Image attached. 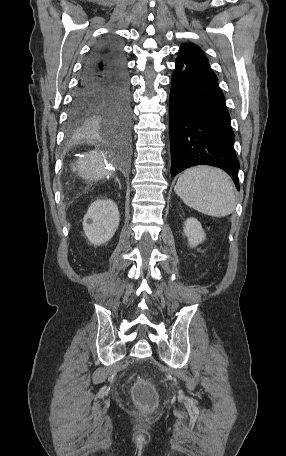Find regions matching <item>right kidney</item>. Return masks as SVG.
Listing matches in <instances>:
<instances>
[{
    "mask_svg": "<svg viewBox=\"0 0 286 456\" xmlns=\"http://www.w3.org/2000/svg\"><path fill=\"white\" fill-rule=\"evenodd\" d=\"M120 215L116 203L110 199L94 201L83 218V230L94 245L108 242L119 226Z\"/></svg>",
    "mask_w": 286,
    "mask_h": 456,
    "instance_id": "1",
    "label": "right kidney"
}]
</instances>
